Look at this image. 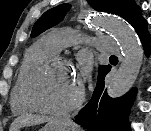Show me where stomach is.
Listing matches in <instances>:
<instances>
[{
    "mask_svg": "<svg viewBox=\"0 0 151 131\" xmlns=\"http://www.w3.org/2000/svg\"><path fill=\"white\" fill-rule=\"evenodd\" d=\"M73 123L68 120L59 119L46 124L40 131H77Z\"/></svg>",
    "mask_w": 151,
    "mask_h": 131,
    "instance_id": "1",
    "label": "stomach"
}]
</instances>
